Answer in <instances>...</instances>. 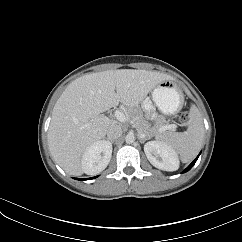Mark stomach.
<instances>
[{"mask_svg": "<svg viewBox=\"0 0 242 242\" xmlns=\"http://www.w3.org/2000/svg\"><path fill=\"white\" fill-rule=\"evenodd\" d=\"M152 100L163 114L174 115L182 108L184 95L174 82L166 80L155 87Z\"/></svg>", "mask_w": 242, "mask_h": 242, "instance_id": "obj_1", "label": "stomach"}]
</instances>
